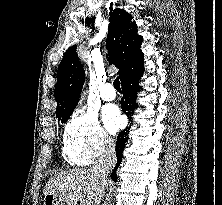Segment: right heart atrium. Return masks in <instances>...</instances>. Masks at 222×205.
I'll return each mask as SVG.
<instances>
[{
    "instance_id": "1",
    "label": "right heart atrium",
    "mask_w": 222,
    "mask_h": 205,
    "mask_svg": "<svg viewBox=\"0 0 222 205\" xmlns=\"http://www.w3.org/2000/svg\"><path fill=\"white\" fill-rule=\"evenodd\" d=\"M63 141L66 155L78 165L91 164L96 158L109 153L114 145L98 118L83 111L76 112L68 121Z\"/></svg>"
}]
</instances>
